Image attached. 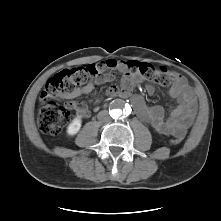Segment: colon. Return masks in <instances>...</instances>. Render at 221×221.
<instances>
[{"mask_svg": "<svg viewBox=\"0 0 221 221\" xmlns=\"http://www.w3.org/2000/svg\"><path fill=\"white\" fill-rule=\"evenodd\" d=\"M128 70L133 75H139L147 81L154 82L162 87L171 85L178 79V74L147 62L130 61ZM98 71L95 65L74 67L61 70L52 75L46 82L40 94L37 123L39 129L46 134L58 133L68 122L70 111L60 105L56 98L73 91L77 86L95 82ZM119 90L115 87L109 89V93L117 95ZM182 137L174 135L172 142L180 143Z\"/></svg>", "mask_w": 221, "mask_h": 221, "instance_id": "1", "label": "colon"}]
</instances>
